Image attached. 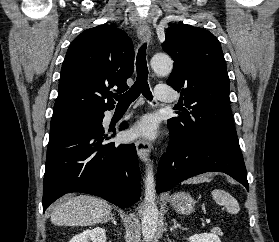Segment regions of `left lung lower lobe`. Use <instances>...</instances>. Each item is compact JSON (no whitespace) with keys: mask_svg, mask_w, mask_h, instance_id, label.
<instances>
[{"mask_svg":"<svg viewBox=\"0 0 279 242\" xmlns=\"http://www.w3.org/2000/svg\"><path fill=\"white\" fill-rule=\"evenodd\" d=\"M169 130L172 138L157 170L158 193L168 191L183 180L205 172H224L248 190L247 171L238 148L213 141L187 145Z\"/></svg>","mask_w":279,"mask_h":242,"instance_id":"0a47b994","label":"left lung lower lobe"}]
</instances>
